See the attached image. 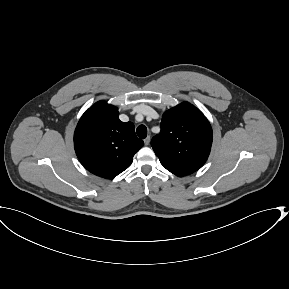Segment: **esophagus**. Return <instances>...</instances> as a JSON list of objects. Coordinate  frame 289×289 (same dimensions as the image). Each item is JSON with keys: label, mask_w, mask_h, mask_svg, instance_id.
<instances>
[{"label": "esophagus", "mask_w": 289, "mask_h": 289, "mask_svg": "<svg viewBox=\"0 0 289 289\" xmlns=\"http://www.w3.org/2000/svg\"><path fill=\"white\" fill-rule=\"evenodd\" d=\"M144 144H145L146 146L150 144V136H148V137H146V138L144 139Z\"/></svg>", "instance_id": "obj_1"}]
</instances>
